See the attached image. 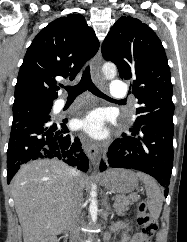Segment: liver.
Segmentation results:
<instances>
[{
	"instance_id": "6515ba94",
	"label": "liver",
	"mask_w": 187,
	"mask_h": 242,
	"mask_svg": "<svg viewBox=\"0 0 187 242\" xmlns=\"http://www.w3.org/2000/svg\"><path fill=\"white\" fill-rule=\"evenodd\" d=\"M70 172L62 161L43 159L23 165L14 176L11 191L24 242H45L69 226ZM76 180L84 189L86 175L79 173Z\"/></svg>"
}]
</instances>
